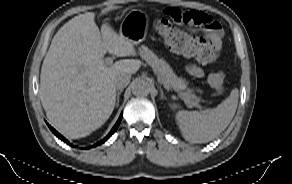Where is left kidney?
<instances>
[{
	"label": "left kidney",
	"instance_id": "left-kidney-1",
	"mask_svg": "<svg viewBox=\"0 0 292 184\" xmlns=\"http://www.w3.org/2000/svg\"><path fill=\"white\" fill-rule=\"evenodd\" d=\"M170 107H171L172 109H175V108H177V105H176V104H171Z\"/></svg>",
	"mask_w": 292,
	"mask_h": 184
}]
</instances>
